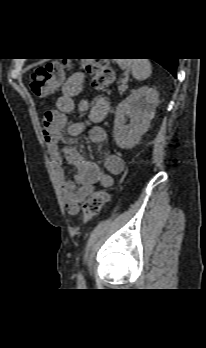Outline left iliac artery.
Wrapping results in <instances>:
<instances>
[{"label":"left iliac artery","mask_w":206,"mask_h":348,"mask_svg":"<svg viewBox=\"0 0 206 348\" xmlns=\"http://www.w3.org/2000/svg\"><path fill=\"white\" fill-rule=\"evenodd\" d=\"M78 283H79L80 285H83V284H84V278H83V276L81 275V273H80L79 276H78Z\"/></svg>","instance_id":"44dca946"}]
</instances>
